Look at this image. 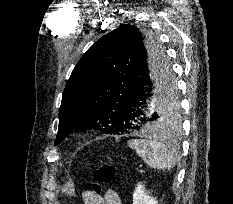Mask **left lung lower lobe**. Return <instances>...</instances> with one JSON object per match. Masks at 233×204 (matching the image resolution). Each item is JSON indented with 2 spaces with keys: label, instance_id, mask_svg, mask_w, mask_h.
<instances>
[{
  "label": "left lung lower lobe",
  "instance_id": "1",
  "mask_svg": "<svg viewBox=\"0 0 233 204\" xmlns=\"http://www.w3.org/2000/svg\"><path fill=\"white\" fill-rule=\"evenodd\" d=\"M163 55L142 52L129 84L120 100L115 123L124 133L161 131L157 128L155 107L159 96L175 82Z\"/></svg>",
  "mask_w": 233,
  "mask_h": 204
}]
</instances>
